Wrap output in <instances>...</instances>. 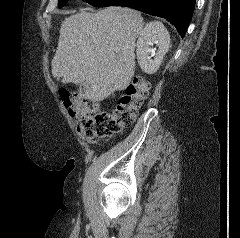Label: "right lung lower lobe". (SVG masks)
Returning a JSON list of instances; mask_svg holds the SVG:
<instances>
[{
	"label": "right lung lower lobe",
	"mask_w": 240,
	"mask_h": 238,
	"mask_svg": "<svg viewBox=\"0 0 240 238\" xmlns=\"http://www.w3.org/2000/svg\"><path fill=\"white\" fill-rule=\"evenodd\" d=\"M196 0H98L93 6H127L167 19L182 37L192 18Z\"/></svg>",
	"instance_id": "98d812e1"
}]
</instances>
